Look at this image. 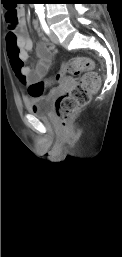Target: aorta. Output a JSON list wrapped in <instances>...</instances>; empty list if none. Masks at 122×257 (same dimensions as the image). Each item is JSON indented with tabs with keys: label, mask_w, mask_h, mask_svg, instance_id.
<instances>
[{
	"label": "aorta",
	"mask_w": 122,
	"mask_h": 257,
	"mask_svg": "<svg viewBox=\"0 0 122 257\" xmlns=\"http://www.w3.org/2000/svg\"><path fill=\"white\" fill-rule=\"evenodd\" d=\"M36 13H44V4H35Z\"/></svg>",
	"instance_id": "1"
}]
</instances>
